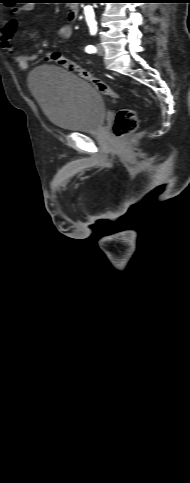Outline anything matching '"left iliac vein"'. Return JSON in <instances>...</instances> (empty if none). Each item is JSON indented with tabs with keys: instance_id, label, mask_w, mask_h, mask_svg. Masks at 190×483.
Segmentation results:
<instances>
[{
	"instance_id": "left-iliac-vein-1",
	"label": "left iliac vein",
	"mask_w": 190,
	"mask_h": 483,
	"mask_svg": "<svg viewBox=\"0 0 190 483\" xmlns=\"http://www.w3.org/2000/svg\"><path fill=\"white\" fill-rule=\"evenodd\" d=\"M96 48H97V53L99 55H101V56L104 55V48L101 44H97Z\"/></svg>"
}]
</instances>
